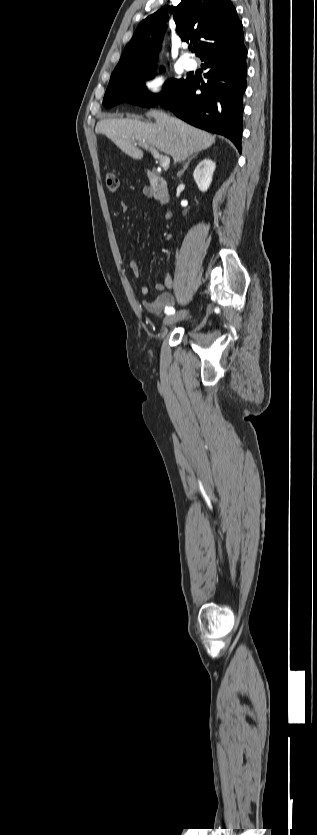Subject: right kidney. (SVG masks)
<instances>
[{
    "label": "right kidney",
    "mask_w": 317,
    "mask_h": 835,
    "mask_svg": "<svg viewBox=\"0 0 317 835\" xmlns=\"http://www.w3.org/2000/svg\"><path fill=\"white\" fill-rule=\"evenodd\" d=\"M216 164L210 159L202 160L194 170L193 177L198 188L205 192L208 190L212 176L215 171Z\"/></svg>",
    "instance_id": "right-kidney-1"
}]
</instances>
